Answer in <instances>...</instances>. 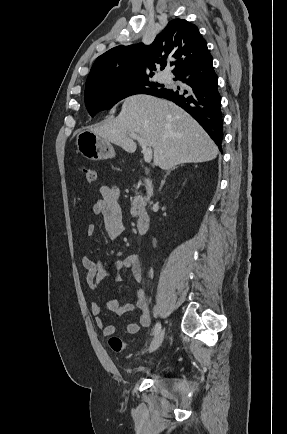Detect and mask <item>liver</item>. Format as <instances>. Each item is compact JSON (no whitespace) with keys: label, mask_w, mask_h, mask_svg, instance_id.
<instances>
[{"label":"liver","mask_w":287,"mask_h":434,"mask_svg":"<svg viewBox=\"0 0 287 434\" xmlns=\"http://www.w3.org/2000/svg\"><path fill=\"white\" fill-rule=\"evenodd\" d=\"M90 130L129 153L135 152L137 145L128 135H139L153 148L154 165L163 170L211 161L218 154L213 140L188 113L170 101L149 95L126 99L115 119Z\"/></svg>","instance_id":"1"}]
</instances>
